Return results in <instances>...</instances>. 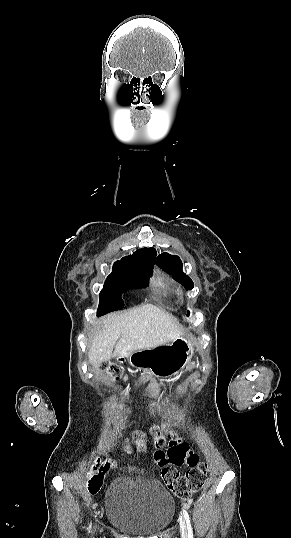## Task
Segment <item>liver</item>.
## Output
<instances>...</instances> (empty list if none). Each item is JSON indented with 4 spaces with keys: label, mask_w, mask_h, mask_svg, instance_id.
I'll list each match as a JSON object with an SVG mask.
<instances>
[{
    "label": "liver",
    "mask_w": 291,
    "mask_h": 538,
    "mask_svg": "<svg viewBox=\"0 0 291 538\" xmlns=\"http://www.w3.org/2000/svg\"><path fill=\"white\" fill-rule=\"evenodd\" d=\"M182 332L175 318L153 304L111 313L103 318L102 330L92 341L89 360L100 365L111 357L128 358L134 351L168 344L181 336Z\"/></svg>",
    "instance_id": "obj_1"
}]
</instances>
